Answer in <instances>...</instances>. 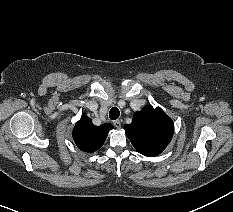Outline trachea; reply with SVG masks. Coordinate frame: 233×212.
<instances>
[{
  "label": "trachea",
  "mask_w": 233,
  "mask_h": 212,
  "mask_svg": "<svg viewBox=\"0 0 233 212\" xmlns=\"http://www.w3.org/2000/svg\"><path fill=\"white\" fill-rule=\"evenodd\" d=\"M119 115H120V111H119V109L117 107L111 108V110L109 112V117H110L111 120L118 119Z\"/></svg>",
  "instance_id": "1"
}]
</instances>
